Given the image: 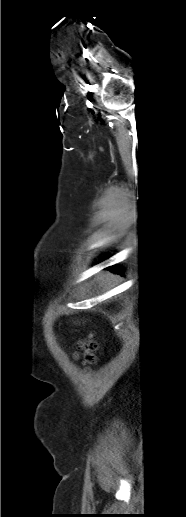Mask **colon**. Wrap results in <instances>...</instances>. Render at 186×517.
<instances>
[{"mask_svg": "<svg viewBox=\"0 0 186 517\" xmlns=\"http://www.w3.org/2000/svg\"><path fill=\"white\" fill-rule=\"evenodd\" d=\"M78 347L79 352L76 354V357L85 365L94 364L96 361L95 351L97 349V343L92 339V337L81 340Z\"/></svg>", "mask_w": 186, "mask_h": 517, "instance_id": "obj_1", "label": "colon"}]
</instances>
